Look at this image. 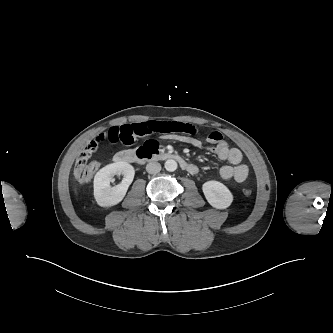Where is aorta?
Instances as JSON below:
<instances>
[{
	"label": "aorta",
	"mask_w": 333,
	"mask_h": 333,
	"mask_svg": "<svg viewBox=\"0 0 333 333\" xmlns=\"http://www.w3.org/2000/svg\"><path fill=\"white\" fill-rule=\"evenodd\" d=\"M177 162L173 159H168L166 160L165 164H164V167L167 171L169 172H173L177 169Z\"/></svg>",
	"instance_id": "aorta-1"
}]
</instances>
